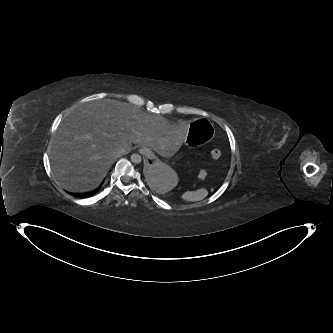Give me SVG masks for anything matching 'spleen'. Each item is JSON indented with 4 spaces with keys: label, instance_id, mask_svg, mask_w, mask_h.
Listing matches in <instances>:
<instances>
[{
    "label": "spleen",
    "instance_id": "obj_1",
    "mask_svg": "<svg viewBox=\"0 0 333 333\" xmlns=\"http://www.w3.org/2000/svg\"><path fill=\"white\" fill-rule=\"evenodd\" d=\"M207 196V192L203 189L197 190L195 192H186L185 193V198L188 200H202Z\"/></svg>",
    "mask_w": 333,
    "mask_h": 333
}]
</instances>
